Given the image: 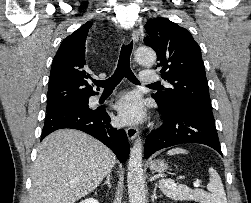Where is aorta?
I'll return each mask as SVG.
<instances>
[{
    "label": "aorta",
    "mask_w": 251,
    "mask_h": 203,
    "mask_svg": "<svg viewBox=\"0 0 251 203\" xmlns=\"http://www.w3.org/2000/svg\"><path fill=\"white\" fill-rule=\"evenodd\" d=\"M135 59L140 65L152 66L156 61V53L151 48H139L135 53ZM142 152V141L138 137L131 148L128 161L127 183L130 203H145Z\"/></svg>",
    "instance_id": "762f6f07"
}]
</instances>
